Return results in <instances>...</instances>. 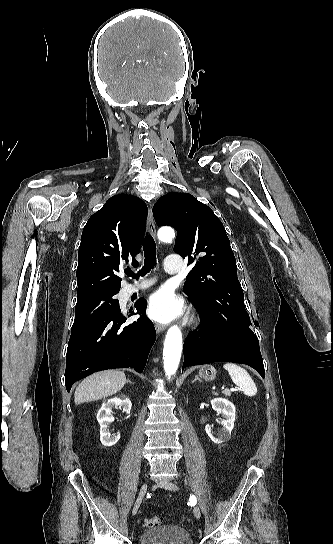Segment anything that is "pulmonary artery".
<instances>
[{
  "label": "pulmonary artery",
  "instance_id": "e3ab8cb5",
  "mask_svg": "<svg viewBox=\"0 0 333 544\" xmlns=\"http://www.w3.org/2000/svg\"><path fill=\"white\" fill-rule=\"evenodd\" d=\"M165 270L169 274H176L182 270V259L178 255H170L165 259ZM149 286L148 282H140L136 285H130L127 288L129 294H133L137 291L143 290Z\"/></svg>",
  "mask_w": 333,
  "mask_h": 544
}]
</instances>
